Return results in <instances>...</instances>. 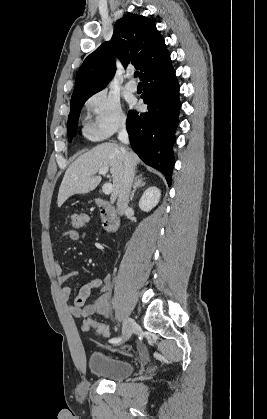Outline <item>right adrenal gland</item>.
<instances>
[{"label":"right adrenal gland","instance_id":"obj_1","mask_svg":"<svg viewBox=\"0 0 267 419\" xmlns=\"http://www.w3.org/2000/svg\"><path fill=\"white\" fill-rule=\"evenodd\" d=\"M144 180H145V178L142 176V174L136 176L135 181H134L133 190H132L131 195H130V201L133 200L134 194H135L137 188L143 187L145 185Z\"/></svg>","mask_w":267,"mask_h":419}]
</instances>
